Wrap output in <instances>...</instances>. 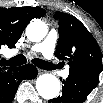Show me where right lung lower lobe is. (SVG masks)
Instances as JSON below:
<instances>
[{
    "label": "right lung lower lobe",
    "mask_w": 103,
    "mask_h": 103,
    "mask_svg": "<svg viewBox=\"0 0 103 103\" xmlns=\"http://www.w3.org/2000/svg\"><path fill=\"white\" fill-rule=\"evenodd\" d=\"M36 76L37 69L31 64L0 73V103H11L22 80Z\"/></svg>",
    "instance_id": "right-lung-lower-lobe-1"
}]
</instances>
